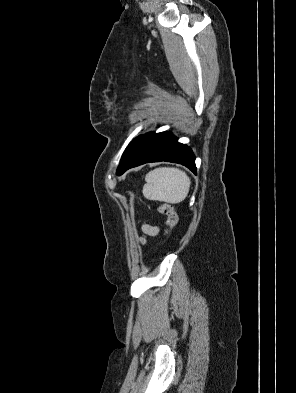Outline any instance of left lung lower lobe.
<instances>
[{
	"label": "left lung lower lobe",
	"instance_id": "obj_1",
	"mask_svg": "<svg viewBox=\"0 0 296 393\" xmlns=\"http://www.w3.org/2000/svg\"><path fill=\"white\" fill-rule=\"evenodd\" d=\"M169 161L188 167L196 173L195 156L192 150L184 144L178 143L177 138L170 132H150L140 136L130 153L123 169L126 170L148 162Z\"/></svg>",
	"mask_w": 296,
	"mask_h": 393
}]
</instances>
